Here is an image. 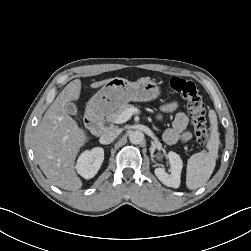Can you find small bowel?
<instances>
[{"label":"small bowel","mask_w":251,"mask_h":251,"mask_svg":"<svg viewBox=\"0 0 251 251\" xmlns=\"http://www.w3.org/2000/svg\"><path fill=\"white\" fill-rule=\"evenodd\" d=\"M178 104L171 102L162 106V112H175L172 127L167 129L164 133V140L166 143L172 145L179 141L186 142L191 138V133L187 129L188 118L183 112H177Z\"/></svg>","instance_id":"1"}]
</instances>
